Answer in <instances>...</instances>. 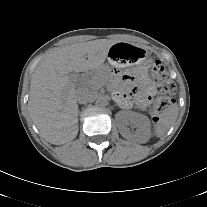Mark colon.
<instances>
[{
	"label": "colon",
	"mask_w": 207,
	"mask_h": 207,
	"mask_svg": "<svg viewBox=\"0 0 207 207\" xmlns=\"http://www.w3.org/2000/svg\"><path fill=\"white\" fill-rule=\"evenodd\" d=\"M151 74L154 77L158 91L161 94H174L176 91V86L172 79L168 76L164 65L156 59L150 61ZM173 107V102L165 97L159 96L154 104L153 119L158 121L160 117L171 110Z\"/></svg>",
	"instance_id": "colon-1"
}]
</instances>
